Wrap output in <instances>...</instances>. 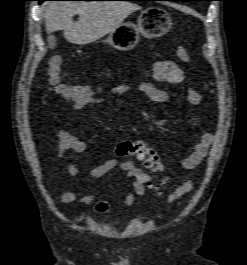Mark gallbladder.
I'll return each mask as SVG.
<instances>
[{
  "label": "gallbladder",
  "instance_id": "gallbladder-1",
  "mask_svg": "<svg viewBox=\"0 0 247 265\" xmlns=\"http://www.w3.org/2000/svg\"><path fill=\"white\" fill-rule=\"evenodd\" d=\"M55 44V37L53 35L48 36V45L52 47Z\"/></svg>",
  "mask_w": 247,
  "mask_h": 265
}]
</instances>
